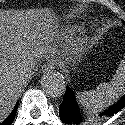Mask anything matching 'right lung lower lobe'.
Returning <instances> with one entry per match:
<instances>
[{"label": "right lung lower lobe", "instance_id": "98d812e1", "mask_svg": "<svg viewBox=\"0 0 125 125\" xmlns=\"http://www.w3.org/2000/svg\"><path fill=\"white\" fill-rule=\"evenodd\" d=\"M17 107H18V103L14 107L13 111L11 112V114L0 125H11V123L13 122V120L15 118V113H16Z\"/></svg>", "mask_w": 125, "mask_h": 125}]
</instances>
